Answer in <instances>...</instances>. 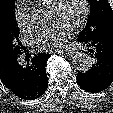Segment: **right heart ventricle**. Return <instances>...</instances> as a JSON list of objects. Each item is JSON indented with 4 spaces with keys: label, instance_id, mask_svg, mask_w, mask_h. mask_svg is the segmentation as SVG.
Returning a JSON list of instances; mask_svg holds the SVG:
<instances>
[{
    "label": "right heart ventricle",
    "instance_id": "1",
    "mask_svg": "<svg viewBox=\"0 0 113 113\" xmlns=\"http://www.w3.org/2000/svg\"><path fill=\"white\" fill-rule=\"evenodd\" d=\"M36 1L48 5H51L54 2V0H36Z\"/></svg>",
    "mask_w": 113,
    "mask_h": 113
}]
</instances>
